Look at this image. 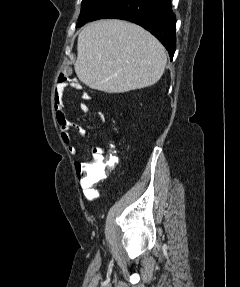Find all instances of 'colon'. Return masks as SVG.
Listing matches in <instances>:
<instances>
[{
  "mask_svg": "<svg viewBox=\"0 0 240 287\" xmlns=\"http://www.w3.org/2000/svg\"><path fill=\"white\" fill-rule=\"evenodd\" d=\"M68 82V77L65 73H60L58 82L54 90V97L58 95L59 90ZM117 161V156L114 151H111L107 156H102L89 163H77L76 171L81 184L89 187L100 179L114 167Z\"/></svg>",
  "mask_w": 240,
  "mask_h": 287,
  "instance_id": "obj_1",
  "label": "colon"
}]
</instances>
